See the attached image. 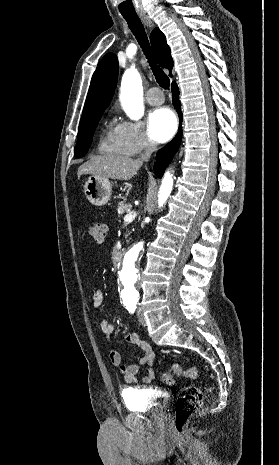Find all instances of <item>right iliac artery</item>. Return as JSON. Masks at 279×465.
<instances>
[{
  "instance_id": "obj_1",
  "label": "right iliac artery",
  "mask_w": 279,
  "mask_h": 465,
  "mask_svg": "<svg viewBox=\"0 0 279 465\" xmlns=\"http://www.w3.org/2000/svg\"><path fill=\"white\" fill-rule=\"evenodd\" d=\"M127 309H128V311H129L130 313H133L134 310L136 309V307H135V306H130V307H128Z\"/></svg>"
}]
</instances>
